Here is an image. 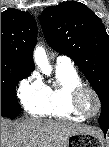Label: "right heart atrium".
I'll return each instance as SVG.
<instances>
[{
	"label": "right heart atrium",
	"mask_w": 109,
	"mask_h": 147,
	"mask_svg": "<svg viewBox=\"0 0 109 147\" xmlns=\"http://www.w3.org/2000/svg\"><path fill=\"white\" fill-rule=\"evenodd\" d=\"M18 96L24 105L40 102L45 96L43 83L35 77L22 80L18 86Z\"/></svg>",
	"instance_id": "d8ad5b80"
}]
</instances>
